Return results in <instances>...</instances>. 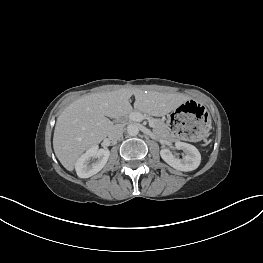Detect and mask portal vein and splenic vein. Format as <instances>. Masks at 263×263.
<instances>
[{
	"label": "portal vein and splenic vein",
	"mask_w": 263,
	"mask_h": 263,
	"mask_svg": "<svg viewBox=\"0 0 263 263\" xmlns=\"http://www.w3.org/2000/svg\"><path fill=\"white\" fill-rule=\"evenodd\" d=\"M130 119L133 121H137V122H141L144 119H148L146 118L144 115H142L141 113L138 112H132L129 115ZM148 123L150 127H154V123L152 120L148 119Z\"/></svg>",
	"instance_id": "portal-vein-and-splenic-vein-1"
}]
</instances>
